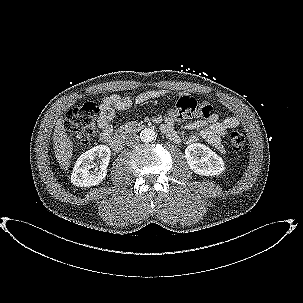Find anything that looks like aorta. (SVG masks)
I'll return each mask as SVG.
<instances>
[{
    "instance_id": "obj_1",
    "label": "aorta",
    "mask_w": 303,
    "mask_h": 303,
    "mask_svg": "<svg viewBox=\"0 0 303 303\" xmlns=\"http://www.w3.org/2000/svg\"><path fill=\"white\" fill-rule=\"evenodd\" d=\"M156 138H157V134L155 130L152 128H145L140 133V139L145 143L155 141Z\"/></svg>"
}]
</instances>
